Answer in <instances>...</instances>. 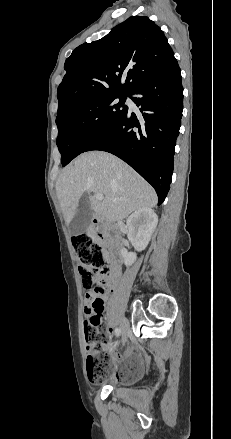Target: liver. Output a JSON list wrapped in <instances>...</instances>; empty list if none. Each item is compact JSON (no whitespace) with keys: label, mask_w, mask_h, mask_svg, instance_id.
<instances>
[{"label":"liver","mask_w":231,"mask_h":439,"mask_svg":"<svg viewBox=\"0 0 231 439\" xmlns=\"http://www.w3.org/2000/svg\"><path fill=\"white\" fill-rule=\"evenodd\" d=\"M57 196L66 224L85 191L101 193L91 197L92 209L110 222L123 220L141 208L156 206L154 189L129 165L114 155L91 151L79 155L65 168L56 183Z\"/></svg>","instance_id":"liver-1"}]
</instances>
